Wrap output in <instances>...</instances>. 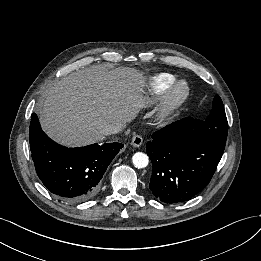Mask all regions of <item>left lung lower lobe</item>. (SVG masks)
Masks as SVG:
<instances>
[{
    "label": "left lung lower lobe",
    "mask_w": 261,
    "mask_h": 261,
    "mask_svg": "<svg viewBox=\"0 0 261 261\" xmlns=\"http://www.w3.org/2000/svg\"><path fill=\"white\" fill-rule=\"evenodd\" d=\"M204 121H176L152 135L146 151L153 165L149 187L164 203L188 201L210 182L224 148L207 137Z\"/></svg>",
    "instance_id": "0a47b994"
}]
</instances>
